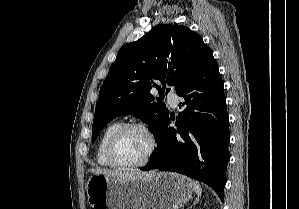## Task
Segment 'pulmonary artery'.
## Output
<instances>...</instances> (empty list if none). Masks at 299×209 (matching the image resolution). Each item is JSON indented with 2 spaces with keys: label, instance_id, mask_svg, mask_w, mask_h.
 I'll return each instance as SVG.
<instances>
[{
  "label": "pulmonary artery",
  "instance_id": "1",
  "mask_svg": "<svg viewBox=\"0 0 299 209\" xmlns=\"http://www.w3.org/2000/svg\"><path fill=\"white\" fill-rule=\"evenodd\" d=\"M167 100L171 107L175 108L178 104L179 97L174 91H169L167 93Z\"/></svg>",
  "mask_w": 299,
  "mask_h": 209
}]
</instances>
